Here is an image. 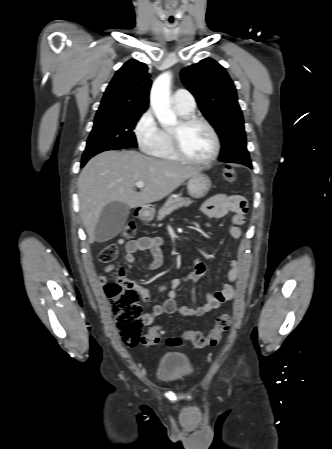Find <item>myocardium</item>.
I'll list each match as a JSON object with an SVG mask.
<instances>
[{"instance_id": "f54148a6", "label": "myocardium", "mask_w": 332, "mask_h": 449, "mask_svg": "<svg viewBox=\"0 0 332 449\" xmlns=\"http://www.w3.org/2000/svg\"><path fill=\"white\" fill-rule=\"evenodd\" d=\"M193 124H201L205 126L210 132L214 144L212 154L208 158L203 160L195 159L187 155L182 148L179 131H170L172 149L176 157L184 162L195 165H209L218 158L220 153L221 144L218 133L211 123L201 117L186 116L182 117L179 121L180 128H185Z\"/></svg>"}]
</instances>
